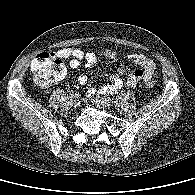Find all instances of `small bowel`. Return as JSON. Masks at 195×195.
Wrapping results in <instances>:
<instances>
[{
    "mask_svg": "<svg viewBox=\"0 0 195 195\" xmlns=\"http://www.w3.org/2000/svg\"><path fill=\"white\" fill-rule=\"evenodd\" d=\"M55 55L62 59L70 58V67L76 69L85 62L86 66L91 68L97 61V56L94 52H84L79 48L66 47L58 50ZM104 55L108 59H114L118 53L113 50H106ZM129 59L140 68L134 70L130 74L124 76L125 69L123 67L118 68L117 74L110 76V83H104L99 88H93L88 91V96L103 95V94H116L124 86L134 87L139 81L151 80L156 76L157 70L154 61L143 54H131ZM88 81L86 75L82 74L78 77L80 85H85Z\"/></svg>",
    "mask_w": 195,
    "mask_h": 195,
    "instance_id": "c3829d8e",
    "label": "small bowel"
}]
</instances>
